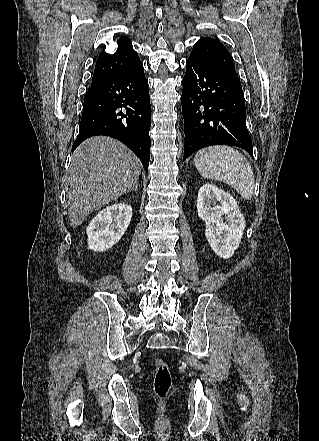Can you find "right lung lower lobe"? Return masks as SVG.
<instances>
[{"label": "right lung lower lobe", "instance_id": "1", "mask_svg": "<svg viewBox=\"0 0 319 441\" xmlns=\"http://www.w3.org/2000/svg\"><path fill=\"white\" fill-rule=\"evenodd\" d=\"M151 105L142 63L100 81L88 90L79 134L72 152L85 139L106 135L129 147L148 171Z\"/></svg>", "mask_w": 319, "mask_h": 441}]
</instances>
